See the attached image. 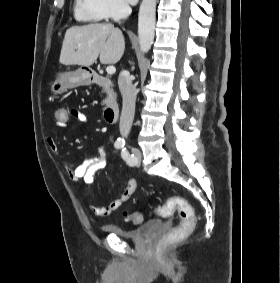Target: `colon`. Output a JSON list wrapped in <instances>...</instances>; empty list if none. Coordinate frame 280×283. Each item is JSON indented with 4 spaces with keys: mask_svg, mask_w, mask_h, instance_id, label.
Wrapping results in <instances>:
<instances>
[{
    "mask_svg": "<svg viewBox=\"0 0 280 283\" xmlns=\"http://www.w3.org/2000/svg\"><path fill=\"white\" fill-rule=\"evenodd\" d=\"M54 116V122H67V119L72 118L68 108L63 105L55 107ZM174 211L178 212L180 222L166 237L171 240L183 239L193 231L196 225L195 212L189 202L181 197H171L164 205L157 207L154 213L160 217H168ZM125 217L133 224H139L143 220L141 212L126 213Z\"/></svg>",
    "mask_w": 280,
    "mask_h": 283,
    "instance_id": "obj_1",
    "label": "colon"
}]
</instances>
